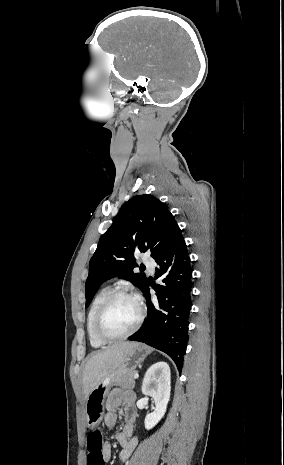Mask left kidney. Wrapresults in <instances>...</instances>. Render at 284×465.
Wrapping results in <instances>:
<instances>
[{"instance_id": "5707ae66", "label": "left kidney", "mask_w": 284, "mask_h": 465, "mask_svg": "<svg viewBox=\"0 0 284 465\" xmlns=\"http://www.w3.org/2000/svg\"><path fill=\"white\" fill-rule=\"evenodd\" d=\"M171 373L164 361L154 363L148 369L142 383V393L152 397L156 407L153 413L145 417V429H153L164 417L170 399Z\"/></svg>"}]
</instances>
